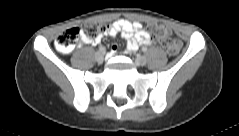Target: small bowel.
Listing matches in <instances>:
<instances>
[{"label":"small bowel","mask_w":239,"mask_h":136,"mask_svg":"<svg viewBox=\"0 0 239 136\" xmlns=\"http://www.w3.org/2000/svg\"><path fill=\"white\" fill-rule=\"evenodd\" d=\"M121 34L126 40V50L132 52L138 49L140 45H150L152 43L150 34L143 28L139 22H131L126 19H119L111 23L103 35L92 39L82 34V41L86 44L98 45L104 36L116 37ZM117 52V47L113 46L111 54Z\"/></svg>","instance_id":"c3829d8e"}]
</instances>
